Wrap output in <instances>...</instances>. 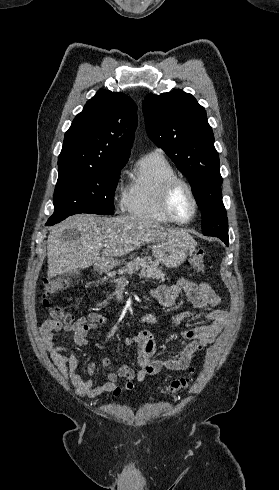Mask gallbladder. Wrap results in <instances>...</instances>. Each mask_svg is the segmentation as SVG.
Here are the masks:
<instances>
[{"label":"gallbladder","instance_id":"gallbladder-1","mask_svg":"<svg viewBox=\"0 0 279 490\" xmlns=\"http://www.w3.org/2000/svg\"><path fill=\"white\" fill-rule=\"evenodd\" d=\"M80 276L79 270H73V272H68V274H62L57 278V282H65V284H70L73 278H78Z\"/></svg>","mask_w":279,"mask_h":490}]
</instances>
